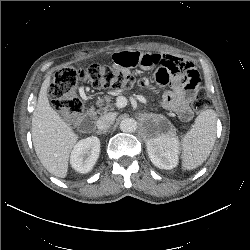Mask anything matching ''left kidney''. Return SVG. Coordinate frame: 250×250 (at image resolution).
Here are the masks:
<instances>
[{
    "instance_id": "1",
    "label": "left kidney",
    "mask_w": 250,
    "mask_h": 250,
    "mask_svg": "<svg viewBox=\"0 0 250 250\" xmlns=\"http://www.w3.org/2000/svg\"><path fill=\"white\" fill-rule=\"evenodd\" d=\"M180 143L173 134H165L147 142V152L151 162L158 168L171 170L179 162Z\"/></svg>"
}]
</instances>
